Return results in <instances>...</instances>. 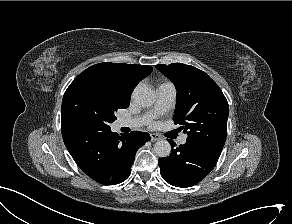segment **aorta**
Instances as JSON below:
<instances>
[{
  "label": "aorta",
  "mask_w": 292,
  "mask_h": 224,
  "mask_svg": "<svg viewBox=\"0 0 292 224\" xmlns=\"http://www.w3.org/2000/svg\"><path fill=\"white\" fill-rule=\"evenodd\" d=\"M133 100L140 107H149L155 102V92L146 85H139L133 92ZM154 152L159 157H167L171 152V145L167 140H159L154 144Z\"/></svg>",
  "instance_id": "aorta-1"
}]
</instances>
